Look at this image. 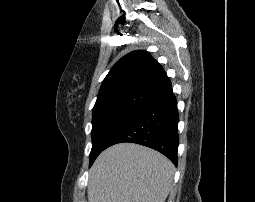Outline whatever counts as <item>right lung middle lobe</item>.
Segmentation results:
<instances>
[{
    "mask_svg": "<svg viewBox=\"0 0 255 202\" xmlns=\"http://www.w3.org/2000/svg\"><path fill=\"white\" fill-rule=\"evenodd\" d=\"M135 110H115L93 115L92 118V149L90 166L97 156L107 147L112 136L135 115Z\"/></svg>",
    "mask_w": 255,
    "mask_h": 202,
    "instance_id": "1",
    "label": "right lung middle lobe"
}]
</instances>
